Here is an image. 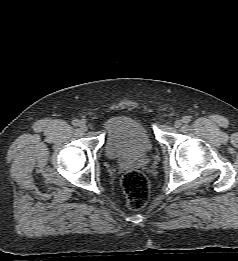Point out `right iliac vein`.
<instances>
[{
    "mask_svg": "<svg viewBox=\"0 0 238 261\" xmlns=\"http://www.w3.org/2000/svg\"><path fill=\"white\" fill-rule=\"evenodd\" d=\"M79 126H80V129L82 131H86L87 130V125L85 123L81 122Z\"/></svg>",
    "mask_w": 238,
    "mask_h": 261,
    "instance_id": "obj_1",
    "label": "right iliac vein"
}]
</instances>
